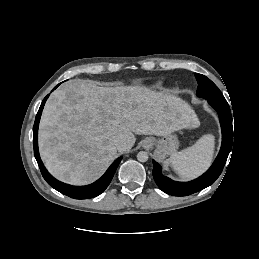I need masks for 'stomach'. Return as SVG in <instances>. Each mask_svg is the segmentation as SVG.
Instances as JSON below:
<instances>
[{
    "label": "stomach",
    "mask_w": 259,
    "mask_h": 259,
    "mask_svg": "<svg viewBox=\"0 0 259 259\" xmlns=\"http://www.w3.org/2000/svg\"><path fill=\"white\" fill-rule=\"evenodd\" d=\"M153 142L156 145L154 156L158 160H164L169 155L175 153L179 147V140L174 134L163 136L157 140L153 139Z\"/></svg>",
    "instance_id": "1"
}]
</instances>
